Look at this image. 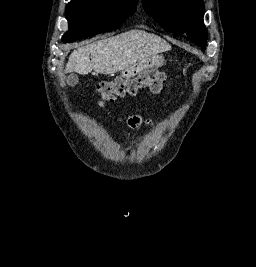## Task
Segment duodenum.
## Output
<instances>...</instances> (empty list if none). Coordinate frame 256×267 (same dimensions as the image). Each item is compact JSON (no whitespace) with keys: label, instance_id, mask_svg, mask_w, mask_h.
Returning <instances> with one entry per match:
<instances>
[{"label":"duodenum","instance_id":"410a0bca","mask_svg":"<svg viewBox=\"0 0 256 267\" xmlns=\"http://www.w3.org/2000/svg\"><path fill=\"white\" fill-rule=\"evenodd\" d=\"M150 71H152V66H145V68H140V66H125L123 79H134L136 73H150Z\"/></svg>","mask_w":256,"mask_h":267}]
</instances>
